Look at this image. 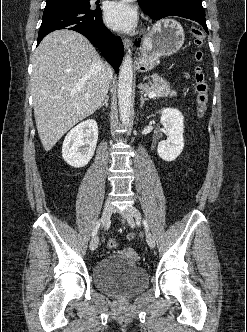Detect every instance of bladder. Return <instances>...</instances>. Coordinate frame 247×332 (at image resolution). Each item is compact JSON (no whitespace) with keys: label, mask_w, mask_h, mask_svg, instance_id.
<instances>
[{"label":"bladder","mask_w":247,"mask_h":332,"mask_svg":"<svg viewBox=\"0 0 247 332\" xmlns=\"http://www.w3.org/2000/svg\"><path fill=\"white\" fill-rule=\"evenodd\" d=\"M95 288L117 298H130L144 291L149 284L145 269L137 262L131 249L114 251L100 259L93 267Z\"/></svg>","instance_id":"obj_1"}]
</instances>
